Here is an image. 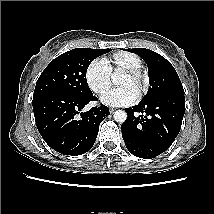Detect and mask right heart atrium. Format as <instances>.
<instances>
[{"label": "right heart atrium", "instance_id": "right-heart-atrium-1", "mask_svg": "<svg viewBox=\"0 0 214 214\" xmlns=\"http://www.w3.org/2000/svg\"><path fill=\"white\" fill-rule=\"evenodd\" d=\"M88 87L96 94H104L111 86V72L103 59H95L85 70Z\"/></svg>", "mask_w": 214, "mask_h": 214}]
</instances>
